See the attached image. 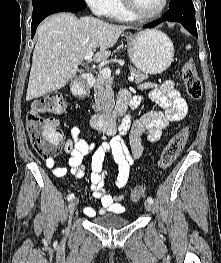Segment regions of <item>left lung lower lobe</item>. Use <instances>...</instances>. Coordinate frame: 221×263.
Returning a JSON list of instances; mask_svg holds the SVG:
<instances>
[{
    "label": "left lung lower lobe",
    "mask_w": 221,
    "mask_h": 263,
    "mask_svg": "<svg viewBox=\"0 0 221 263\" xmlns=\"http://www.w3.org/2000/svg\"><path fill=\"white\" fill-rule=\"evenodd\" d=\"M164 21L179 22L186 30L197 37L195 8L192 0H186L181 3L169 5V10L163 15L161 19L144 25V27L152 28Z\"/></svg>",
    "instance_id": "obj_1"
}]
</instances>
